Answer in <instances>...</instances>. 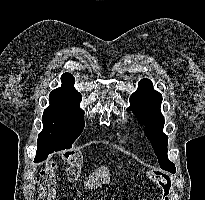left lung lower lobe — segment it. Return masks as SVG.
I'll return each instance as SVG.
<instances>
[{
	"mask_svg": "<svg viewBox=\"0 0 205 200\" xmlns=\"http://www.w3.org/2000/svg\"><path fill=\"white\" fill-rule=\"evenodd\" d=\"M169 172L175 173V172H176V169H172V170H170Z\"/></svg>",
	"mask_w": 205,
	"mask_h": 200,
	"instance_id": "obj_1",
	"label": "left lung lower lobe"
}]
</instances>
